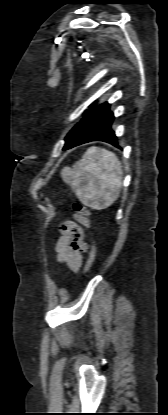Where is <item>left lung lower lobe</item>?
Returning a JSON list of instances; mask_svg holds the SVG:
<instances>
[{
  "instance_id": "1",
  "label": "left lung lower lobe",
  "mask_w": 168,
  "mask_h": 415,
  "mask_svg": "<svg viewBox=\"0 0 168 415\" xmlns=\"http://www.w3.org/2000/svg\"><path fill=\"white\" fill-rule=\"evenodd\" d=\"M109 107L110 105L97 115L88 128L78 137L72 147L91 141H104L118 146L117 137L111 128L114 114L109 110Z\"/></svg>"
}]
</instances>
